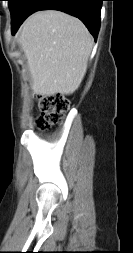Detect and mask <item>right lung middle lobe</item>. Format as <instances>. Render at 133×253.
<instances>
[{
  "mask_svg": "<svg viewBox=\"0 0 133 253\" xmlns=\"http://www.w3.org/2000/svg\"><path fill=\"white\" fill-rule=\"evenodd\" d=\"M11 12V25L13 26L19 19L20 9L25 0H7Z\"/></svg>",
  "mask_w": 133,
  "mask_h": 253,
  "instance_id": "1",
  "label": "right lung middle lobe"
}]
</instances>
